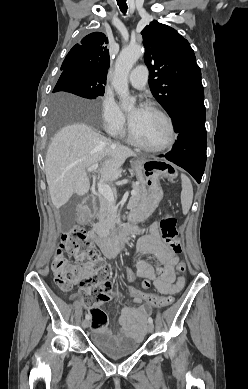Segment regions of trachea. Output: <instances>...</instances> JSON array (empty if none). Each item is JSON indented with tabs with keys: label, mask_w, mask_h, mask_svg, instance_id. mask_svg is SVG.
I'll use <instances>...</instances> for the list:
<instances>
[{
	"label": "trachea",
	"mask_w": 248,
	"mask_h": 389,
	"mask_svg": "<svg viewBox=\"0 0 248 389\" xmlns=\"http://www.w3.org/2000/svg\"><path fill=\"white\" fill-rule=\"evenodd\" d=\"M117 3H118V6H119L120 10H121L123 13H126V11H127L126 0H117Z\"/></svg>",
	"instance_id": "3493384b"
}]
</instances>
